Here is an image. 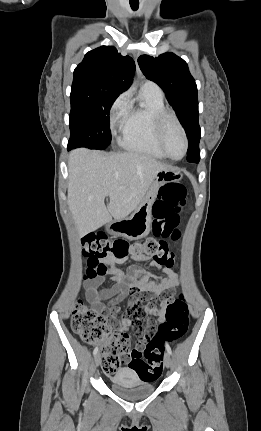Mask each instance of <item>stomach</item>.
Wrapping results in <instances>:
<instances>
[{
	"mask_svg": "<svg viewBox=\"0 0 261 431\" xmlns=\"http://www.w3.org/2000/svg\"><path fill=\"white\" fill-rule=\"evenodd\" d=\"M182 177L183 171L179 168H169L157 173L135 211L129 217L108 223L106 225L107 232L111 235L128 239H140L147 236L151 229L152 206L158 196L160 187L166 183L177 182Z\"/></svg>",
	"mask_w": 261,
	"mask_h": 431,
	"instance_id": "stomach-1",
	"label": "stomach"
}]
</instances>
